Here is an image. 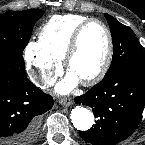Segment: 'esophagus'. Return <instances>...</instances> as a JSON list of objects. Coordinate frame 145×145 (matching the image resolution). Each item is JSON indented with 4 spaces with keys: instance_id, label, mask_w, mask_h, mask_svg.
<instances>
[{
    "instance_id": "obj_1",
    "label": "esophagus",
    "mask_w": 145,
    "mask_h": 145,
    "mask_svg": "<svg viewBox=\"0 0 145 145\" xmlns=\"http://www.w3.org/2000/svg\"><path fill=\"white\" fill-rule=\"evenodd\" d=\"M61 105H64L66 107L71 106L73 104V100L71 98H63L59 101Z\"/></svg>"
}]
</instances>
